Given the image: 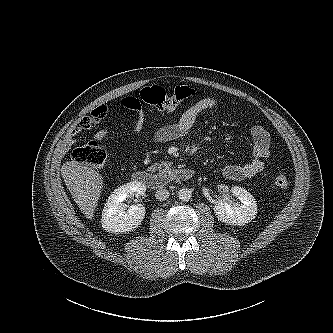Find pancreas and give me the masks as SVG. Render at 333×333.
Masks as SVG:
<instances>
[{
    "label": "pancreas",
    "mask_w": 333,
    "mask_h": 333,
    "mask_svg": "<svg viewBox=\"0 0 333 333\" xmlns=\"http://www.w3.org/2000/svg\"><path fill=\"white\" fill-rule=\"evenodd\" d=\"M171 163H166V162H162L161 164L159 163H155L153 166H152V169L156 170V169H159V170H162V169H168L170 167Z\"/></svg>",
    "instance_id": "obj_1"
}]
</instances>
